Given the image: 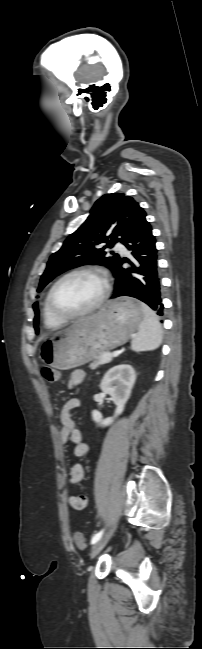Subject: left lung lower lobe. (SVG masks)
<instances>
[{
  "mask_svg": "<svg viewBox=\"0 0 202 649\" xmlns=\"http://www.w3.org/2000/svg\"><path fill=\"white\" fill-rule=\"evenodd\" d=\"M145 216L133 224L121 241L131 251L132 257L130 260L120 258L113 267L116 280L111 298L135 297L156 310L158 315H162L161 279L157 266L156 241ZM126 262L129 267L125 269L122 265Z\"/></svg>",
  "mask_w": 202,
  "mask_h": 649,
  "instance_id": "left-lung-lower-lobe-1",
  "label": "left lung lower lobe"
}]
</instances>
